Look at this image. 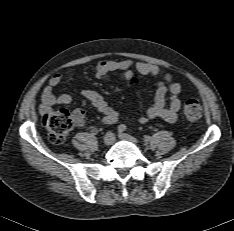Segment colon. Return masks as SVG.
Returning <instances> with one entry per match:
<instances>
[{
	"label": "colon",
	"mask_w": 234,
	"mask_h": 231,
	"mask_svg": "<svg viewBox=\"0 0 234 231\" xmlns=\"http://www.w3.org/2000/svg\"><path fill=\"white\" fill-rule=\"evenodd\" d=\"M136 82L134 77L129 79V83ZM185 117L190 121L201 119L203 110L200 103L195 99H189L184 105ZM43 124L49 132L51 141L61 143L67 134L73 129L75 122L68 110L61 109L45 113Z\"/></svg>",
	"instance_id": "5ec220e1"
}]
</instances>
